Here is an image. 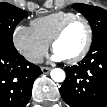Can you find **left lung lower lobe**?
<instances>
[{
    "instance_id": "0a47b994",
    "label": "left lung lower lobe",
    "mask_w": 107,
    "mask_h": 107,
    "mask_svg": "<svg viewBox=\"0 0 107 107\" xmlns=\"http://www.w3.org/2000/svg\"><path fill=\"white\" fill-rule=\"evenodd\" d=\"M60 94L70 107L107 105V37L92 43L78 65L66 68Z\"/></svg>"
}]
</instances>
